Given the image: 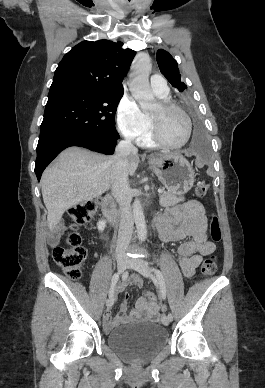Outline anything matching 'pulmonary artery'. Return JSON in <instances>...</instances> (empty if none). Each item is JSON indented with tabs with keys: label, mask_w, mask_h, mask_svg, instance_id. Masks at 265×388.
I'll return each mask as SVG.
<instances>
[{
	"label": "pulmonary artery",
	"mask_w": 265,
	"mask_h": 388,
	"mask_svg": "<svg viewBox=\"0 0 265 388\" xmlns=\"http://www.w3.org/2000/svg\"><path fill=\"white\" fill-rule=\"evenodd\" d=\"M150 80L152 82V88L154 90H169V83L165 82L162 75H151Z\"/></svg>",
	"instance_id": "1"
}]
</instances>
